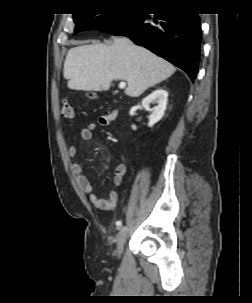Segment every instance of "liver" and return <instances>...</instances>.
<instances>
[{"mask_svg": "<svg viewBox=\"0 0 252 303\" xmlns=\"http://www.w3.org/2000/svg\"><path fill=\"white\" fill-rule=\"evenodd\" d=\"M176 68L126 37L112 44L95 42L71 48L63 75L73 90L106 91L114 80H125V94L138 97L148 88L169 78Z\"/></svg>", "mask_w": 252, "mask_h": 303, "instance_id": "obj_1", "label": "liver"}]
</instances>
